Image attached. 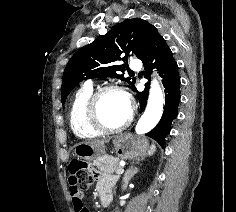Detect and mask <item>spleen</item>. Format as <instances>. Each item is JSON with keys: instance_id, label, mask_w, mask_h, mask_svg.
Segmentation results:
<instances>
[{"instance_id": "3e777b00", "label": "spleen", "mask_w": 236, "mask_h": 212, "mask_svg": "<svg viewBox=\"0 0 236 212\" xmlns=\"http://www.w3.org/2000/svg\"><path fill=\"white\" fill-rule=\"evenodd\" d=\"M155 150H156L155 145H152V146H151V149H150V151H149V155H153V153L155 152Z\"/></svg>"}]
</instances>
